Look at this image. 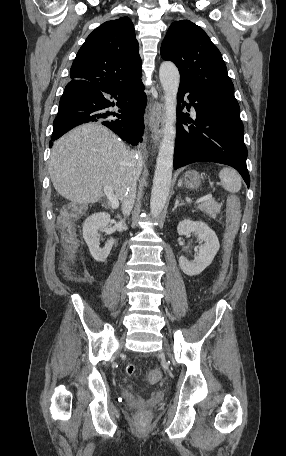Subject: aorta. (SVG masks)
Masks as SVG:
<instances>
[{"instance_id": "aorta-1", "label": "aorta", "mask_w": 286, "mask_h": 456, "mask_svg": "<svg viewBox=\"0 0 286 456\" xmlns=\"http://www.w3.org/2000/svg\"><path fill=\"white\" fill-rule=\"evenodd\" d=\"M159 78L165 99V126L156 161L150 199V213L153 217H157L164 209L171 186L176 135L177 92L180 83L178 68L170 61L162 62Z\"/></svg>"}]
</instances>
